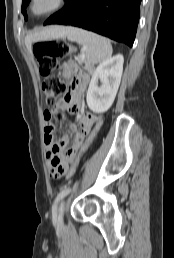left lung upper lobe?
<instances>
[{
  "label": "left lung upper lobe",
  "mask_w": 174,
  "mask_h": 258,
  "mask_svg": "<svg viewBox=\"0 0 174 258\" xmlns=\"http://www.w3.org/2000/svg\"><path fill=\"white\" fill-rule=\"evenodd\" d=\"M30 0H22V8L21 11L24 14L25 19H27V15H26V7L29 4Z\"/></svg>",
  "instance_id": "left-lung-upper-lobe-1"
}]
</instances>
